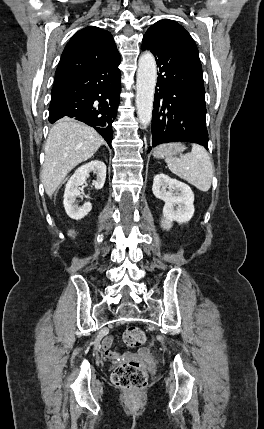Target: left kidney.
Returning <instances> with one entry per match:
<instances>
[{"instance_id":"1","label":"left kidney","mask_w":264,"mask_h":429,"mask_svg":"<svg viewBox=\"0 0 264 429\" xmlns=\"http://www.w3.org/2000/svg\"><path fill=\"white\" fill-rule=\"evenodd\" d=\"M152 191L165 202L161 220L164 229L169 230L173 221L180 224L190 221L195 210L194 193L187 184L160 173L154 177Z\"/></svg>"}]
</instances>
